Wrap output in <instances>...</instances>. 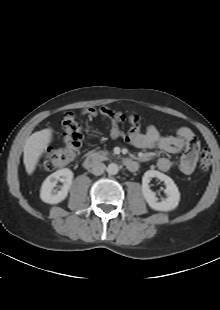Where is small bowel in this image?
I'll return each mask as SVG.
<instances>
[{
  "instance_id": "small-bowel-1",
  "label": "small bowel",
  "mask_w": 220,
  "mask_h": 310,
  "mask_svg": "<svg viewBox=\"0 0 220 310\" xmlns=\"http://www.w3.org/2000/svg\"><path fill=\"white\" fill-rule=\"evenodd\" d=\"M82 115L89 117L103 115L107 117L111 121L110 136L112 138H123L136 148H156L166 153L182 152L179 169L185 175L192 174L196 167L200 143L187 127L179 128L173 135L164 136L154 125L148 126L144 132L139 126L134 125L125 133L120 128L114 112L107 107L86 108L82 111ZM157 166L160 170L167 171L171 168V161L168 158L160 157L157 160Z\"/></svg>"
}]
</instances>
